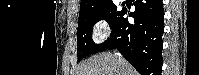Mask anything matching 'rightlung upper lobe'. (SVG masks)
<instances>
[{
    "instance_id": "cb5924a9",
    "label": "right lung upper lobe",
    "mask_w": 199,
    "mask_h": 75,
    "mask_svg": "<svg viewBox=\"0 0 199 75\" xmlns=\"http://www.w3.org/2000/svg\"><path fill=\"white\" fill-rule=\"evenodd\" d=\"M112 0H81L80 3V14H85L95 8H98L99 6L108 3Z\"/></svg>"
}]
</instances>
